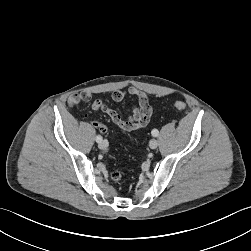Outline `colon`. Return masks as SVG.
<instances>
[{
	"label": "colon",
	"mask_w": 251,
	"mask_h": 251,
	"mask_svg": "<svg viewBox=\"0 0 251 251\" xmlns=\"http://www.w3.org/2000/svg\"><path fill=\"white\" fill-rule=\"evenodd\" d=\"M174 108L178 111H184L186 108V104L182 101H177L174 103ZM92 124L96 128L100 129L102 132L106 131V127L103 124L99 123L98 121L93 120ZM111 178L115 183H119L122 179V174L119 171H114L111 174Z\"/></svg>",
	"instance_id": "5ec220e1"
}]
</instances>
